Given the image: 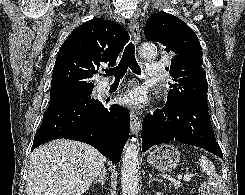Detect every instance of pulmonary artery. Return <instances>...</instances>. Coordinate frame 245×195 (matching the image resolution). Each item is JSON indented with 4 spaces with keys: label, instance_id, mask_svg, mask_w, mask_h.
I'll use <instances>...</instances> for the list:
<instances>
[{
    "label": "pulmonary artery",
    "instance_id": "1",
    "mask_svg": "<svg viewBox=\"0 0 245 195\" xmlns=\"http://www.w3.org/2000/svg\"><path fill=\"white\" fill-rule=\"evenodd\" d=\"M157 66L158 64H150L147 68V77L151 78L153 77L154 75H156L158 72H157ZM110 84L108 82L104 83L101 88L102 90H105L106 88H108Z\"/></svg>",
    "mask_w": 245,
    "mask_h": 195
}]
</instances>
